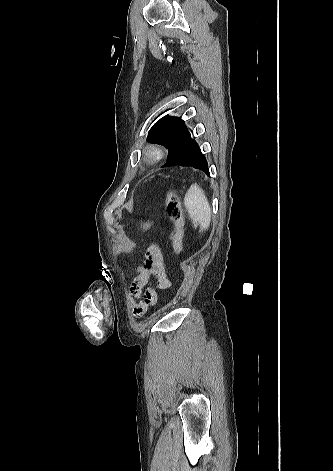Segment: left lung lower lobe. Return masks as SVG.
I'll return each instance as SVG.
<instances>
[{
	"label": "left lung lower lobe",
	"instance_id": "0a47b994",
	"mask_svg": "<svg viewBox=\"0 0 333 471\" xmlns=\"http://www.w3.org/2000/svg\"><path fill=\"white\" fill-rule=\"evenodd\" d=\"M170 165L191 166L196 169L202 170L208 176L210 175L206 158L201 153L200 147L195 140H192L180 151H178L167 162V166Z\"/></svg>",
	"mask_w": 333,
	"mask_h": 471
}]
</instances>
